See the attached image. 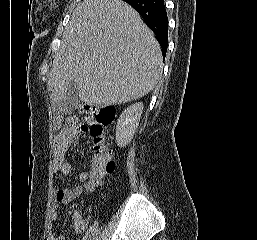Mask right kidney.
Segmentation results:
<instances>
[{"label":"right kidney","mask_w":257,"mask_h":240,"mask_svg":"<svg viewBox=\"0 0 257 240\" xmlns=\"http://www.w3.org/2000/svg\"><path fill=\"white\" fill-rule=\"evenodd\" d=\"M143 103H135L126 108L120 115L116 126V142L119 147L129 144L139 125Z\"/></svg>","instance_id":"right-kidney-1"}]
</instances>
